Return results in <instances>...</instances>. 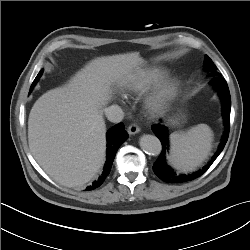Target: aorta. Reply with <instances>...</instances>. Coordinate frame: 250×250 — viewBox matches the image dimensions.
<instances>
[{"instance_id":"aorta-1","label":"aorta","mask_w":250,"mask_h":250,"mask_svg":"<svg viewBox=\"0 0 250 250\" xmlns=\"http://www.w3.org/2000/svg\"><path fill=\"white\" fill-rule=\"evenodd\" d=\"M139 144L142 150L149 155L156 156L161 153V150H162L161 142L154 135H150V134L143 135L140 138Z\"/></svg>"}]
</instances>
